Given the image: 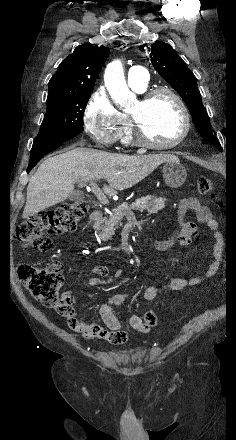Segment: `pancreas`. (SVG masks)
Masks as SVG:
<instances>
[{
	"label": "pancreas",
	"mask_w": 236,
	"mask_h": 440,
	"mask_svg": "<svg viewBox=\"0 0 236 440\" xmlns=\"http://www.w3.org/2000/svg\"><path fill=\"white\" fill-rule=\"evenodd\" d=\"M165 202L166 199L164 198L148 195L136 199V201L130 205H120L113 209L112 215H110L109 218H103L95 229L100 231V238L107 241L114 235L115 230L121 224L124 217L131 220L135 219L132 210H147L148 214H154L165 207Z\"/></svg>",
	"instance_id": "obj_1"
}]
</instances>
